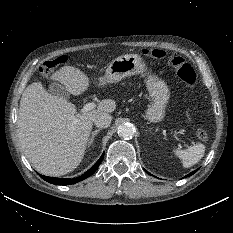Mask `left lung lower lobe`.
<instances>
[{"label": "left lung lower lobe", "instance_id": "obj_1", "mask_svg": "<svg viewBox=\"0 0 233 233\" xmlns=\"http://www.w3.org/2000/svg\"><path fill=\"white\" fill-rule=\"evenodd\" d=\"M146 171V170H145ZM197 170H195V171H193V172H191L189 175H187V176H191L192 174H194L195 172H196ZM147 172V171H146ZM148 173V172H147ZM149 174V173H148Z\"/></svg>", "mask_w": 233, "mask_h": 233}]
</instances>
